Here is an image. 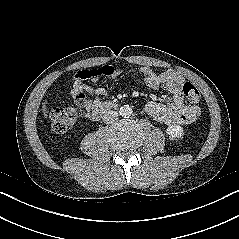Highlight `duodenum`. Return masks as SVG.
<instances>
[{
    "label": "duodenum",
    "instance_id": "duodenum-1",
    "mask_svg": "<svg viewBox=\"0 0 239 239\" xmlns=\"http://www.w3.org/2000/svg\"><path fill=\"white\" fill-rule=\"evenodd\" d=\"M113 107V104L110 102H106L102 104L101 106L93 109L90 114L89 118L92 121H98L102 116H104L111 108Z\"/></svg>",
    "mask_w": 239,
    "mask_h": 239
}]
</instances>
